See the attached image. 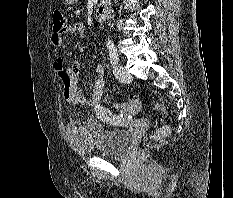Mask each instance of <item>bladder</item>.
Here are the masks:
<instances>
[{
    "instance_id": "31cf9c89",
    "label": "bladder",
    "mask_w": 233,
    "mask_h": 198,
    "mask_svg": "<svg viewBox=\"0 0 233 198\" xmlns=\"http://www.w3.org/2000/svg\"><path fill=\"white\" fill-rule=\"evenodd\" d=\"M71 139L75 147L88 154L120 156L131 140L128 130L106 128L95 122H83L71 130Z\"/></svg>"
}]
</instances>
